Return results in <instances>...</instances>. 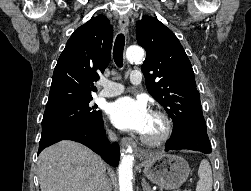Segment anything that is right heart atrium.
Returning a JSON list of instances; mask_svg holds the SVG:
<instances>
[{
    "mask_svg": "<svg viewBox=\"0 0 251 191\" xmlns=\"http://www.w3.org/2000/svg\"><path fill=\"white\" fill-rule=\"evenodd\" d=\"M106 133H107V136L110 140L116 139V134L111 129L108 128Z\"/></svg>",
    "mask_w": 251,
    "mask_h": 191,
    "instance_id": "obj_1",
    "label": "right heart atrium"
}]
</instances>
